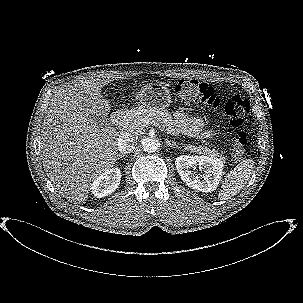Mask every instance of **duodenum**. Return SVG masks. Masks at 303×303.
I'll use <instances>...</instances> for the list:
<instances>
[{
  "label": "duodenum",
  "mask_w": 303,
  "mask_h": 303,
  "mask_svg": "<svg viewBox=\"0 0 303 303\" xmlns=\"http://www.w3.org/2000/svg\"><path fill=\"white\" fill-rule=\"evenodd\" d=\"M125 113L123 111H116L111 117V124H120L124 119Z\"/></svg>",
  "instance_id": "410a0bca"
}]
</instances>
